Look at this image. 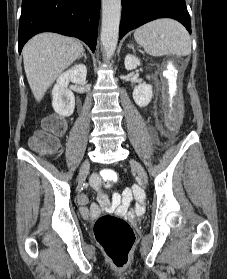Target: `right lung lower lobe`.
<instances>
[{
  "label": "right lung lower lobe",
  "mask_w": 227,
  "mask_h": 279,
  "mask_svg": "<svg viewBox=\"0 0 227 279\" xmlns=\"http://www.w3.org/2000/svg\"><path fill=\"white\" fill-rule=\"evenodd\" d=\"M100 0H23L19 22V53L24 44L41 32L77 37L94 52Z\"/></svg>",
  "instance_id": "98d812e1"
}]
</instances>
